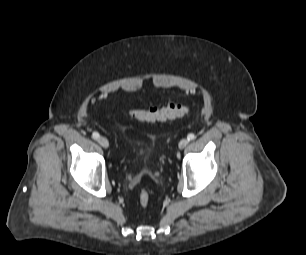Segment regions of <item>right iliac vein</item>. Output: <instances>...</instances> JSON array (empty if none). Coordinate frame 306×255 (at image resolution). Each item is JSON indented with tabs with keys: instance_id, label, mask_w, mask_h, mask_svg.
<instances>
[{
	"instance_id": "63e3f726",
	"label": "right iliac vein",
	"mask_w": 306,
	"mask_h": 255,
	"mask_svg": "<svg viewBox=\"0 0 306 255\" xmlns=\"http://www.w3.org/2000/svg\"><path fill=\"white\" fill-rule=\"evenodd\" d=\"M98 143L103 147V148H108L109 147V142L105 137H99L98 138Z\"/></svg>"
}]
</instances>
